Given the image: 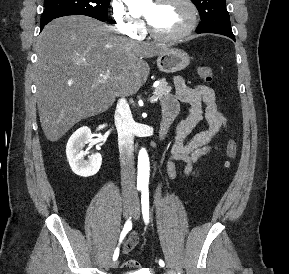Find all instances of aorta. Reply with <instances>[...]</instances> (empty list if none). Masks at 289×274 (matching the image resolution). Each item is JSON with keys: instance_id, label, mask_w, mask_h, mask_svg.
<instances>
[{"instance_id": "aorta-1", "label": "aorta", "mask_w": 289, "mask_h": 274, "mask_svg": "<svg viewBox=\"0 0 289 274\" xmlns=\"http://www.w3.org/2000/svg\"><path fill=\"white\" fill-rule=\"evenodd\" d=\"M128 6L139 7L143 1L147 0H124ZM149 181V157L145 149H141L138 155V184L147 185Z\"/></svg>"}]
</instances>
